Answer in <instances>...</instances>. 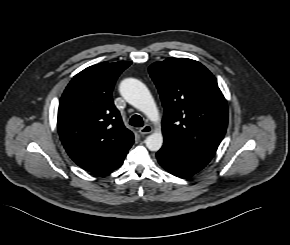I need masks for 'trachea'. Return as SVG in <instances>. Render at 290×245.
Returning <instances> with one entry per match:
<instances>
[{
  "instance_id": "1",
  "label": "trachea",
  "mask_w": 290,
  "mask_h": 245,
  "mask_svg": "<svg viewBox=\"0 0 290 245\" xmlns=\"http://www.w3.org/2000/svg\"><path fill=\"white\" fill-rule=\"evenodd\" d=\"M129 124L134 127H142L143 126V119L139 115H133L129 121Z\"/></svg>"
}]
</instances>
